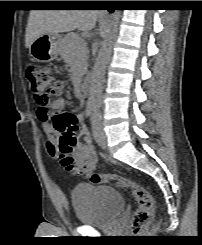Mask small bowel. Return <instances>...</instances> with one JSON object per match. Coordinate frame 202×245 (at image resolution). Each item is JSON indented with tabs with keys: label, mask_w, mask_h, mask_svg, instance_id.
Listing matches in <instances>:
<instances>
[{
	"label": "small bowel",
	"mask_w": 202,
	"mask_h": 245,
	"mask_svg": "<svg viewBox=\"0 0 202 245\" xmlns=\"http://www.w3.org/2000/svg\"><path fill=\"white\" fill-rule=\"evenodd\" d=\"M63 106L64 101L62 99H58L52 104L51 109L61 112L63 110ZM78 118L80 121H82L83 115H79ZM42 128L47 136L48 150L50 153H53L56 149V144L54 143L52 126L49 122H43ZM73 157L85 175L90 176L96 168L97 156L95 148L91 144L89 131L85 126L81 127V138H78L77 145L73 149Z\"/></svg>",
	"instance_id": "obj_1"
}]
</instances>
